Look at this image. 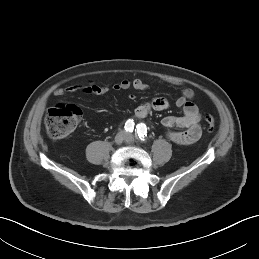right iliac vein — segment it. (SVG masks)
I'll use <instances>...</instances> for the list:
<instances>
[{"instance_id": "1", "label": "right iliac vein", "mask_w": 259, "mask_h": 259, "mask_svg": "<svg viewBox=\"0 0 259 259\" xmlns=\"http://www.w3.org/2000/svg\"><path fill=\"white\" fill-rule=\"evenodd\" d=\"M126 139V133L124 131H121L117 133V135L114 138L115 144H121Z\"/></svg>"}]
</instances>
